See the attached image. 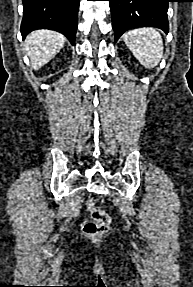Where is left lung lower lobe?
I'll use <instances>...</instances> for the list:
<instances>
[{"mask_svg":"<svg viewBox=\"0 0 193 287\" xmlns=\"http://www.w3.org/2000/svg\"><path fill=\"white\" fill-rule=\"evenodd\" d=\"M115 41L131 28L152 26L168 32L167 10L170 0H108Z\"/></svg>","mask_w":193,"mask_h":287,"instance_id":"1","label":"left lung lower lobe"}]
</instances>
